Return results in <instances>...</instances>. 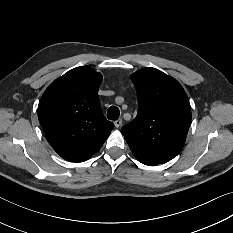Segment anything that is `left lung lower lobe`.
<instances>
[{
  "label": "left lung lower lobe",
  "instance_id": "0a47b994",
  "mask_svg": "<svg viewBox=\"0 0 233 233\" xmlns=\"http://www.w3.org/2000/svg\"><path fill=\"white\" fill-rule=\"evenodd\" d=\"M129 146L131 148L132 153L137 158V160H139L143 164L150 165V166H156L160 163L163 164L169 161L162 157L145 152L136 146H132V145H129Z\"/></svg>",
  "mask_w": 233,
  "mask_h": 233
}]
</instances>
